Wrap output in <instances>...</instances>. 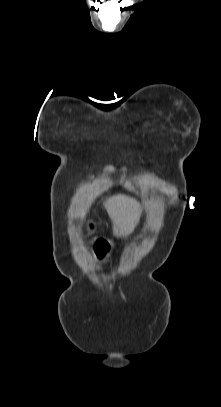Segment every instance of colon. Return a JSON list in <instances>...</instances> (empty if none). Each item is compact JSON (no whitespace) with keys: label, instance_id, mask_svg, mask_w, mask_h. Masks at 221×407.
<instances>
[{"label":"colon","instance_id":"obj_1","mask_svg":"<svg viewBox=\"0 0 221 407\" xmlns=\"http://www.w3.org/2000/svg\"><path fill=\"white\" fill-rule=\"evenodd\" d=\"M103 248L106 249V248H107V245L105 244V245L103 246Z\"/></svg>","mask_w":221,"mask_h":407}]
</instances>
